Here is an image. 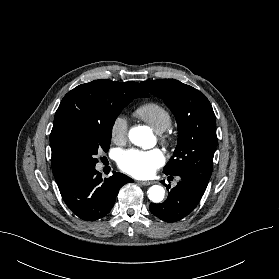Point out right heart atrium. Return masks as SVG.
<instances>
[{"label":"right heart atrium","instance_id":"d8ad5b80","mask_svg":"<svg viewBox=\"0 0 279 279\" xmlns=\"http://www.w3.org/2000/svg\"><path fill=\"white\" fill-rule=\"evenodd\" d=\"M129 123L127 118L122 115H116L110 125V137L116 144H123L128 138Z\"/></svg>","mask_w":279,"mask_h":279}]
</instances>
